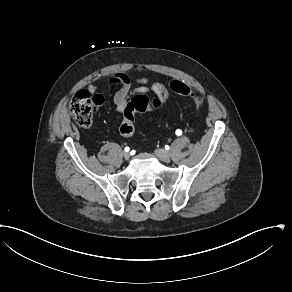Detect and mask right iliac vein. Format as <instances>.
I'll return each instance as SVG.
<instances>
[{"label": "right iliac vein", "instance_id": "obj_1", "mask_svg": "<svg viewBox=\"0 0 292 292\" xmlns=\"http://www.w3.org/2000/svg\"><path fill=\"white\" fill-rule=\"evenodd\" d=\"M123 157L125 160H128L130 158V153L129 152H124Z\"/></svg>", "mask_w": 292, "mask_h": 292}]
</instances>
